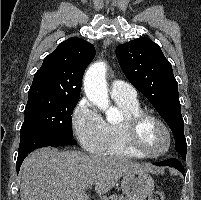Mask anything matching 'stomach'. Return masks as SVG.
I'll use <instances>...</instances> for the list:
<instances>
[{
	"label": "stomach",
	"instance_id": "0dacf381",
	"mask_svg": "<svg viewBox=\"0 0 201 200\" xmlns=\"http://www.w3.org/2000/svg\"><path fill=\"white\" fill-rule=\"evenodd\" d=\"M121 188L129 200H145L154 190V180L147 172L124 175Z\"/></svg>",
	"mask_w": 201,
	"mask_h": 200
}]
</instances>
